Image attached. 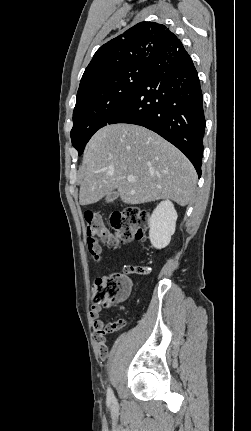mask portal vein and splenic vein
<instances>
[{
    "mask_svg": "<svg viewBox=\"0 0 251 431\" xmlns=\"http://www.w3.org/2000/svg\"><path fill=\"white\" fill-rule=\"evenodd\" d=\"M127 180H128L129 182H133V181H135V177H134V176H128V177H127Z\"/></svg>",
    "mask_w": 251,
    "mask_h": 431,
    "instance_id": "1",
    "label": "portal vein and splenic vein"
}]
</instances>
